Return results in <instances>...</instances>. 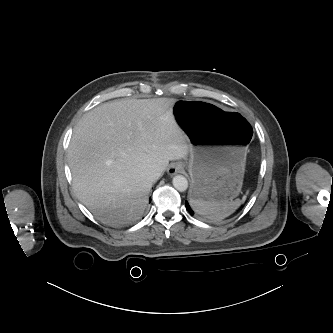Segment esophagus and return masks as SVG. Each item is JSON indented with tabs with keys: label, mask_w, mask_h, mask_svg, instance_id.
<instances>
[{
	"label": "esophagus",
	"mask_w": 333,
	"mask_h": 333,
	"mask_svg": "<svg viewBox=\"0 0 333 333\" xmlns=\"http://www.w3.org/2000/svg\"><path fill=\"white\" fill-rule=\"evenodd\" d=\"M183 170V166L182 164L176 162V163H172L169 168H168V174L169 175H174L176 173H179Z\"/></svg>",
	"instance_id": "34e87169"
}]
</instances>
